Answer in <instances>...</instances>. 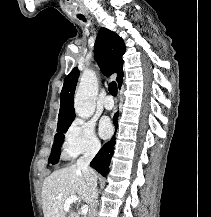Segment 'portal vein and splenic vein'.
Instances as JSON below:
<instances>
[{
  "mask_svg": "<svg viewBox=\"0 0 211 217\" xmlns=\"http://www.w3.org/2000/svg\"><path fill=\"white\" fill-rule=\"evenodd\" d=\"M79 199L76 197V196H70L66 201H65V204H64V210L68 211L69 210V207L72 203H76L78 202ZM88 212V206L84 205L81 207V214L82 215H86Z\"/></svg>",
  "mask_w": 211,
  "mask_h": 217,
  "instance_id": "1",
  "label": "portal vein and splenic vein"
}]
</instances>
